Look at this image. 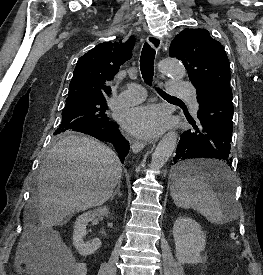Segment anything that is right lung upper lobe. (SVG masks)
<instances>
[{
    "label": "right lung upper lobe",
    "mask_w": 263,
    "mask_h": 275,
    "mask_svg": "<svg viewBox=\"0 0 263 275\" xmlns=\"http://www.w3.org/2000/svg\"><path fill=\"white\" fill-rule=\"evenodd\" d=\"M135 39L126 43L104 42L84 54L77 62L69 85L68 97L94 95L106 97L111 92L108 81L132 56Z\"/></svg>",
    "instance_id": "1"
}]
</instances>
